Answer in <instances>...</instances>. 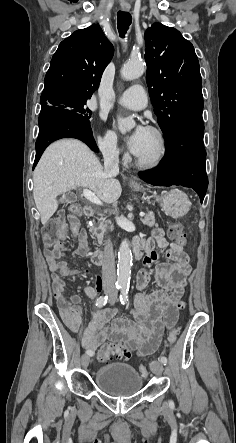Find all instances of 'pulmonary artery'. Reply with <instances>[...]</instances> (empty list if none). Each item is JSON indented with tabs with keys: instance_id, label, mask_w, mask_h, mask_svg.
I'll return each mask as SVG.
<instances>
[{
	"instance_id": "1",
	"label": "pulmonary artery",
	"mask_w": 236,
	"mask_h": 443,
	"mask_svg": "<svg viewBox=\"0 0 236 443\" xmlns=\"http://www.w3.org/2000/svg\"><path fill=\"white\" fill-rule=\"evenodd\" d=\"M116 102L127 108L139 110L147 105V96L142 86L135 85L123 92Z\"/></svg>"
}]
</instances>
